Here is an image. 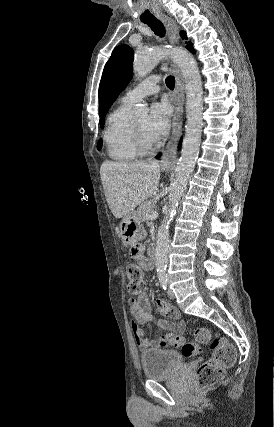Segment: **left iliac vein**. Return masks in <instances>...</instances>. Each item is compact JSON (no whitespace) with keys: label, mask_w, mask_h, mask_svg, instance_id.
<instances>
[{"label":"left iliac vein","mask_w":274,"mask_h":427,"mask_svg":"<svg viewBox=\"0 0 274 427\" xmlns=\"http://www.w3.org/2000/svg\"><path fill=\"white\" fill-rule=\"evenodd\" d=\"M168 296L170 299H175V294L171 288L168 289Z\"/></svg>","instance_id":"4c4485c4"}]
</instances>
